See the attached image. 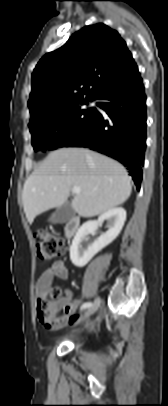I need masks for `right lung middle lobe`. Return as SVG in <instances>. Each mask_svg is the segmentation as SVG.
Returning a JSON list of instances; mask_svg holds the SVG:
<instances>
[{"label":"right lung middle lobe","instance_id":"obj_1","mask_svg":"<svg viewBox=\"0 0 168 406\" xmlns=\"http://www.w3.org/2000/svg\"><path fill=\"white\" fill-rule=\"evenodd\" d=\"M94 99L83 100L53 115L29 124L34 150H54L63 147L81 133L93 120L97 110L82 105ZM62 127L58 132L57 129Z\"/></svg>","mask_w":168,"mask_h":406}]
</instances>
